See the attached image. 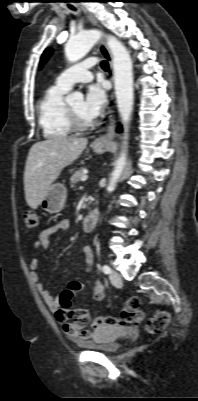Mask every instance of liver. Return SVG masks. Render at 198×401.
<instances>
[{"instance_id": "liver-1", "label": "liver", "mask_w": 198, "mask_h": 401, "mask_svg": "<svg viewBox=\"0 0 198 401\" xmlns=\"http://www.w3.org/2000/svg\"><path fill=\"white\" fill-rule=\"evenodd\" d=\"M87 143V138L53 137L32 145L24 172L25 198L32 209L39 206L63 168L82 154Z\"/></svg>"}]
</instances>
